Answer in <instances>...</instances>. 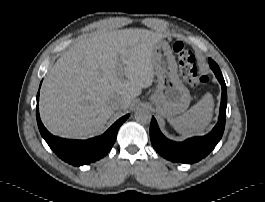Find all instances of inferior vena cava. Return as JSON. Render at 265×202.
Returning a JSON list of instances; mask_svg holds the SVG:
<instances>
[{"label":"inferior vena cava","mask_w":265,"mask_h":202,"mask_svg":"<svg viewBox=\"0 0 265 202\" xmlns=\"http://www.w3.org/2000/svg\"><path fill=\"white\" fill-rule=\"evenodd\" d=\"M111 104L112 106L115 108V109H119L121 107V104H122V99L121 97L119 96H114L112 99H111Z\"/></svg>","instance_id":"inferior-vena-cava-1"}]
</instances>
